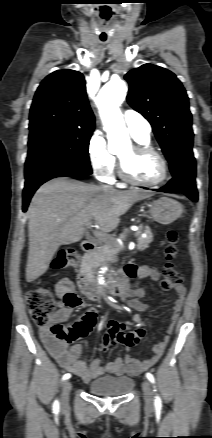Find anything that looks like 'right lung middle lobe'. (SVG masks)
Segmentation results:
<instances>
[{"label": "right lung middle lobe", "instance_id": "dd1d6c3e", "mask_svg": "<svg viewBox=\"0 0 212 438\" xmlns=\"http://www.w3.org/2000/svg\"><path fill=\"white\" fill-rule=\"evenodd\" d=\"M93 130L43 127L30 131V161H67L89 164L88 146Z\"/></svg>", "mask_w": 212, "mask_h": 438}]
</instances>
